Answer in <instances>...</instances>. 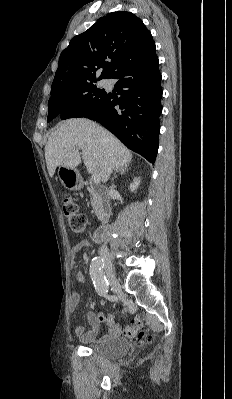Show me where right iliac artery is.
Returning a JSON list of instances; mask_svg holds the SVG:
<instances>
[{"label":"right iliac artery","instance_id":"obj_1","mask_svg":"<svg viewBox=\"0 0 232 399\" xmlns=\"http://www.w3.org/2000/svg\"><path fill=\"white\" fill-rule=\"evenodd\" d=\"M104 259L101 256H95L90 264V277L98 295L108 297L113 301L118 299L116 294L108 295L109 283L103 273Z\"/></svg>","mask_w":232,"mask_h":399}]
</instances>
